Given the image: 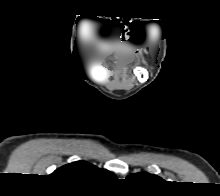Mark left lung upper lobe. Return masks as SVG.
I'll use <instances>...</instances> for the list:
<instances>
[{
	"label": "left lung upper lobe",
	"instance_id": "obj_1",
	"mask_svg": "<svg viewBox=\"0 0 220 196\" xmlns=\"http://www.w3.org/2000/svg\"><path fill=\"white\" fill-rule=\"evenodd\" d=\"M127 179L141 183H149V182L161 180V178H159L158 176L149 174L147 172H141V173L129 175Z\"/></svg>",
	"mask_w": 220,
	"mask_h": 196
}]
</instances>
